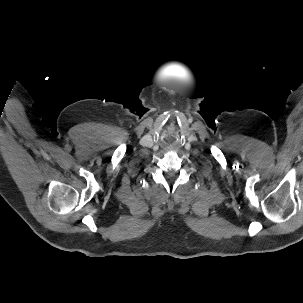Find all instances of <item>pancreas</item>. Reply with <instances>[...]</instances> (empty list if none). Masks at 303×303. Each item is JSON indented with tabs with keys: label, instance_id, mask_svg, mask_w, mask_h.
<instances>
[{
	"label": "pancreas",
	"instance_id": "cf45deb5",
	"mask_svg": "<svg viewBox=\"0 0 303 303\" xmlns=\"http://www.w3.org/2000/svg\"><path fill=\"white\" fill-rule=\"evenodd\" d=\"M39 144H40L42 147H46V145L43 144L42 142H39Z\"/></svg>",
	"mask_w": 303,
	"mask_h": 303
}]
</instances>
